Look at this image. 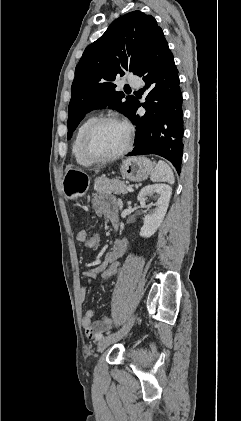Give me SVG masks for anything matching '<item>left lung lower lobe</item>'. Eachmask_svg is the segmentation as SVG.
Masks as SVG:
<instances>
[{
  "label": "left lung lower lobe",
  "mask_w": 241,
  "mask_h": 421,
  "mask_svg": "<svg viewBox=\"0 0 241 421\" xmlns=\"http://www.w3.org/2000/svg\"><path fill=\"white\" fill-rule=\"evenodd\" d=\"M147 90L144 116L136 114V100L130 120L136 125V146L127 156L157 154L168 159L181 172L183 153L182 93L173 55L161 30L137 74Z\"/></svg>",
  "instance_id": "0a47b994"
}]
</instances>
